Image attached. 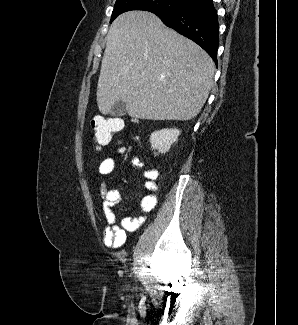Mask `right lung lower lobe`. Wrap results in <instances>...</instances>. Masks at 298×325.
Here are the masks:
<instances>
[{
    "label": "right lung lower lobe",
    "mask_w": 298,
    "mask_h": 325,
    "mask_svg": "<svg viewBox=\"0 0 298 325\" xmlns=\"http://www.w3.org/2000/svg\"><path fill=\"white\" fill-rule=\"evenodd\" d=\"M155 14L166 26L201 46L217 65L219 24L213 0H192L182 8Z\"/></svg>",
    "instance_id": "98d812e1"
}]
</instances>
